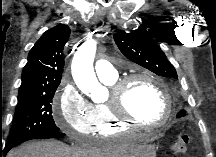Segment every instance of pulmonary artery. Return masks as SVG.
<instances>
[{"mask_svg": "<svg viewBox=\"0 0 216 157\" xmlns=\"http://www.w3.org/2000/svg\"><path fill=\"white\" fill-rule=\"evenodd\" d=\"M95 72L100 80H109L117 75L114 65L105 59H99L95 63Z\"/></svg>", "mask_w": 216, "mask_h": 157, "instance_id": "e3ab8cb5", "label": "pulmonary artery"}]
</instances>
